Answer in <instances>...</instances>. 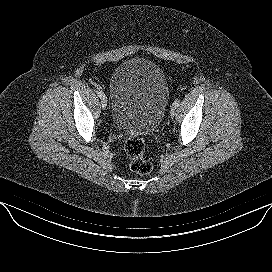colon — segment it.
<instances>
[{
  "label": "colon",
  "instance_id": "colon-1",
  "mask_svg": "<svg viewBox=\"0 0 272 272\" xmlns=\"http://www.w3.org/2000/svg\"><path fill=\"white\" fill-rule=\"evenodd\" d=\"M145 143L139 137H131L126 140L125 151L130 158V169L139 175H145L152 171V163L145 157Z\"/></svg>",
  "mask_w": 272,
  "mask_h": 272
}]
</instances>
